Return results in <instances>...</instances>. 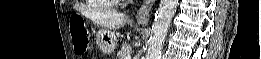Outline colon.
<instances>
[{
	"mask_svg": "<svg viewBox=\"0 0 261 59\" xmlns=\"http://www.w3.org/2000/svg\"><path fill=\"white\" fill-rule=\"evenodd\" d=\"M72 37L74 41V48L77 53H83L88 44L87 32L80 27H72Z\"/></svg>",
	"mask_w": 261,
	"mask_h": 59,
	"instance_id": "obj_1",
	"label": "colon"
}]
</instances>
